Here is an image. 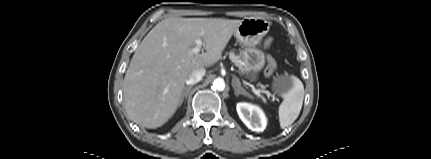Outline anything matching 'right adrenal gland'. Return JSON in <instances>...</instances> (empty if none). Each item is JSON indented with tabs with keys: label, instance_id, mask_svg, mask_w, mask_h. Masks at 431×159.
<instances>
[{
	"label": "right adrenal gland",
	"instance_id": "1",
	"mask_svg": "<svg viewBox=\"0 0 431 159\" xmlns=\"http://www.w3.org/2000/svg\"><path fill=\"white\" fill-rule=\"evenodd\" d=\"M192 87H193V85H190V86H188V87H185V88H184V90H183V92H182V95H181V99H180L179 106H181V104L183 103L184 98H186V99H187L188 91H189Z\"/></svg>",
	"mask_w": 431,
	"mask_h": 159
}]
</instances>
